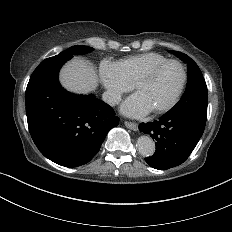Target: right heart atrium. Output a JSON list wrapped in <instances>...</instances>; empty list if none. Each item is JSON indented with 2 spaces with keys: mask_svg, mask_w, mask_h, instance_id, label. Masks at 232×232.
Instances as JSON below:
<instances>
[{
  "mask_svg": "<svg viewBox=\"0 0 232 232\" xmlns=\"http://www.w3.org/2000/svg\"><path fill=\"white\" fill-rule=\"evenodd\" d=\"M97 69L100 71L102 85L110 102L115 101L128 91L129 85L123 80L117 62L104 58L99 62Z\"/></svg>",
  "mask_w": 232,
  "mask_h": 232,
  "instance_id": "d8ad5b80",
  "label": "right heart atrium"
}]
</instances>
